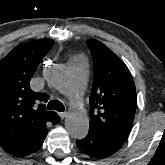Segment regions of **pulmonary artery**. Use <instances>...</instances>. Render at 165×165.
<instances>
[{
  "instance_id": "obj_1",
  "label": "pulmonary artery",
  "mask_w": 165,
  "mask_h": 165,
  "mask_svg": "<svg viewBox=\"0 0 165 165\" xmlns=\"http://www.w3.org/2000/svg\"><path fill=\"white\" fill-rule=\"evenodd\" d=\"M69 67L72 72L74 85L77 89H80L86 75V62L81 57H74L70 60Z\"/></svg>"
}]
</instances>
